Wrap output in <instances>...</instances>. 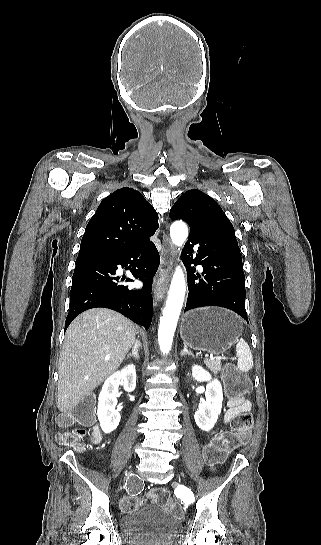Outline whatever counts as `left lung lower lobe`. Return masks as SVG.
Segmentation results:
<instances>
[{
    "label": "left lung lower lobe",
    "mask_w": 321,
    "mask_h": 545,
    "mask_svg": "<svg viewBox=\"0 0 321 545\" xmlns=\"http://www.w3.org/2000/svg\"><path fill=\"white\" fill-rule=\"evenodd\" d=\"M189 239L182 251L188 273V299L184 312L220 306L238 313L247 322L245 276L240 250L231 222L223 219L190 226ZM197 245V248H193ZM191 264L203 266V277L194 275Z\"/></svg>",
    "instance_id": "1"
}]
</instances>
